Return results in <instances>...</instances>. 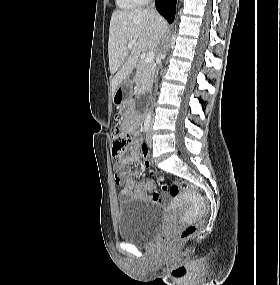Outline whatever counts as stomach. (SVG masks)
I'll list each match as a JSON object with an SVG mask.
<instances>
[{
	"mask_svg": "<svg viewBox=\"0 0 280 285\" xmlns=\"http://www.w3.org/2000/svg\"><path fill=\"white\" fill-rule=\"evenodd\" d=\"M131 89H132V81H131V79L126 78L117 87V89L113 95V102L116 105L121 104L123 101H125L129 97Z\"/></svg>",
	"mask_w": 280,
	"mask_h": 285,
	"instance_id": "0dacf381",
	"label": "stomach"
}]
</instances>
